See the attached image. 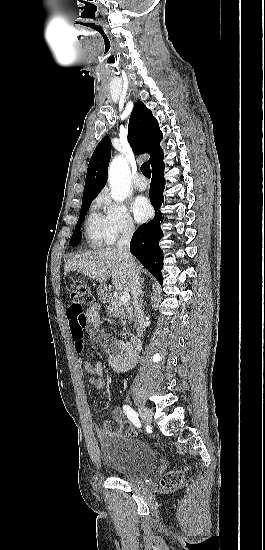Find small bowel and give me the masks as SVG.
I'll return each mask as SVG.
<instances>
[{"instance_id": "c3829d8e", "label": "small bowel", "mask_w": 265, "mask_h": 550, "mask_svg": "<svg viewBox=\"0 0 265 550\" xmlns=\"http://www.w3.org/2000/svg\"><path fill=\"white\" fill-rule=\"evenodd\" d=\"M99 314L100 307L98 304H93L92 306H90L85 313V323L83 325V330H87L92 341L101 345H108L110 343L108 335L99 326ZM74 340V348L76 353H82L84 346L83 332L79 338H74ZM137 358V352L135 350H132L124 341H118L115 344V347L107 354L109 364L114 370L119 372L130 370L136 364ZM82 366L85 374L89 377V384L95 389H104L106 385L103 379L104 370L102 363H92L84 360ZM111 416L114 420H117L119 422L126 421L125 413L119 407H115L112 410ZM97 434L102 444L108 443L110 435L107 432L99 428L97 429Z\"/></svg>"}]
</instances>
